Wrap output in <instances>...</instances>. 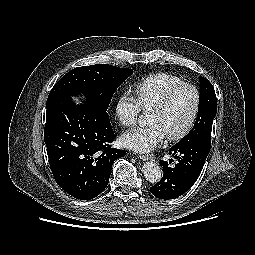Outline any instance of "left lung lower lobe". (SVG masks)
I'll return each instance as SVG.
<instances>
[{"label":"left lung lower lobe","instance_id":"0a47b994","mask_svg":"<svg viewBox=\"0 0 255 255\" xmlns=\"http://www.w3.org/2000/svg\"><path fill=\"white\" fill-rule=\"evenodd\" d=\"M210 148L211 142L204 140L172 146L169 154H173L178 163L170 167L168 162H160L163 178L150 188L151 193L160 199H175L184 194L198 179Z\"/></svg>","mask_w":255,"mask_h":255}]
</instances>
